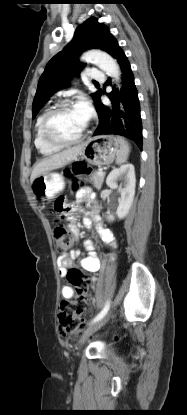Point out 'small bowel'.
I'll return each mask as SVG.
<instances>
[{"label":"small bowel","mask_w":187,"mask_h":415,"mask_svg":"<svg viewBox=\"0 0 187 415\" xmlns=\"http://www.w3.org/2000/svg\"><path fill=\"white\" fill-rule=\"evenodd\" d=\"M90 195L91 190L89 187H82L77 192V198L80 201L88 200L90 198ZM90 216L92 220L97 224L98 233L101 239L110 247H115L116 240L113 237V235L101 225L96 207H93V209L90 212ZM86 224H88V221L86 222ZM70 229L76 236H78L79 231L74 224L70 225ZM86 248L89 250V253L82 259L81 265L85 271L95 273L100 269V259L96 256L95 252L93 251L94 246L91 241H86ZM79 255L80 251L78 249H72L68 254L62 255L58 258L60 276L65 277L68 274L69 270L74 267V260L77 259ZM74 294V288L70 285H65L61 289V295L64 298H72Z\"/></svg>","instance_id":"1"}]
</instances>
